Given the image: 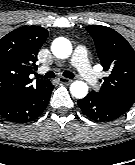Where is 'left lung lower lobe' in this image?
<instances>
[{
  "mask_svg": "<svg viewBox=\"0 0 135 165\" xmlns=\"http://www.w3.org/2000/svg\"><path fill=\"white\" fill-rule=\"evenodd\" d=\"M78 105L84 114L94 121H113L124 115L111 103L97 96L94 92H90L85 98L78 100Z\"/></svg>",
  "mask_w": 135,
  "mask_h": 165,
  "instance_id": "0a47b994",
  "label": "left lung lower lobe"
}]
</instances>
